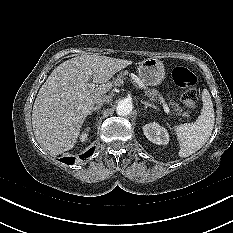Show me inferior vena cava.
I'll return each instance as SVG.
<instances>
[{"instance_id": "obj_1", "label": "inferior vena cava", "mask_w": 233, "mask_h": 233, "mask_svg": "<svg viewBox=\"0 0 233 233\" xmlns=\"http://www.w3.org/2000/svg\"><path fill=\"white\" fill-rule=\"evenodd\" d=\"M111 101V97L108 96V95H104L102 96L101 98H99L97 101H96V105L97 106H102L103 104L105 103H109Z\"/></svg>"}]
</instances>
